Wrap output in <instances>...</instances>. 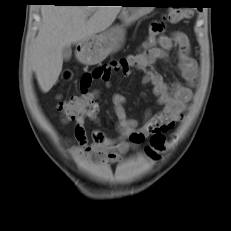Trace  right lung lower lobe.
Instances as JSON below:
<instances>
[{"label":"right lung lower lobe","instance_id":"1","mask_svg":"<svg viewBox=\"0 0 231 231\" xmlns=\"http://www.w3.org/2000/svg\"><path fill=\"white\" fill-rule=\"evenodd\" d=\"M38 2H52L56 5H78L76 0H38Z\"/></svg>","mask_w":231,"mask_h":231}]
</instances>
